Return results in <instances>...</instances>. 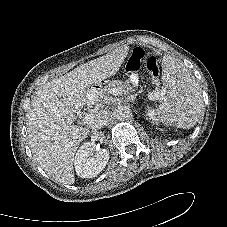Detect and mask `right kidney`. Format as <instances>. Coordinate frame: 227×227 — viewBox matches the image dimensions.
Masks as SVG:
<instances>
[{"label":"right kidney","mask_w":227,"mask_h":227,"mask_svg":"<svg viewBox=\"0 0 227 227\" xmlns=\"http://www.w3.org/2000/svg\"><path fill=\"white\" fill-rule=\"evenodd\" d=\"M94 149L92 142H85L76 153L74 166L76 173L81 178L97 176L108 163L109 151L98 148L95 155L90 156Z\"/></svg>","instance_id":"1"}]
</instances>
